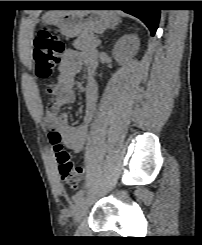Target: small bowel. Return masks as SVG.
Masks as SVG:
<instances>
[{
	"label": "small bowel",
	"instance_id": "obj_1",
	"mask_svg": "<svg viewBox=\"0 0 202 245\" xmlns=\"http://www.w3.org/2000/svg\"><path fill=\"white\" fill-rule=\"evenodd\" d=\"M83 69L88 74L84 87L85 107L83 122L76 127L69 123L68 114H59V109L63 105L74 102L75 78ZM95 71L96 59L94 56H87L75 49H67L59 65L57 83L51 88L52 98L45 110V122L60 131L63 143L74 153L80 152L85 145L88 126L97 109L99 88L94 78Z\"/></svg>",
	"mask_w": 202,
	"mask_h": 245
}]
</instances>
